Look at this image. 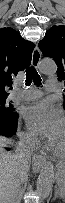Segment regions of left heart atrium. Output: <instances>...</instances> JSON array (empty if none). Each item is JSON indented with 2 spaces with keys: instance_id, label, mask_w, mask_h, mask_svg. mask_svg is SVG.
<instances>
[{
  "instance_id": "1",
  "label": "left heart atrium",
  "mask_w": 65,
  "mask_h": 203,
  "mask_svg": "<svg viewBox=\"0 0 65 203\" xmlns=\"http://www.w3.org/2000/svg\"><path fill=\"white\" fill-rule=\"evenodd\" d=\"M24 118L32 132L49 139L51 142L64 129L62 114L54 109L48 101H41L29 106L24 111Z\"/></svg>"
}]
</instances>
